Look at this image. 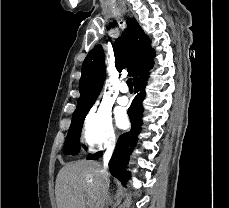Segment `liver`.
<instances>
[{
	"label": "liver",
	"mask_w": 229,
	"mask_h": 208,
	"mask_svg": "<svg viewBox=\"0 0 229 208\" xmlns=\"http://www.w3.org/2000/svg\"><path fill=\"white\" fill-rule=\"evenodd\" d=\"M102 170L93 160H78L61 168L55 186L57 208H100Z\"/></svg>",
	"instance_id": "6515ba94"
}]
</instances>
